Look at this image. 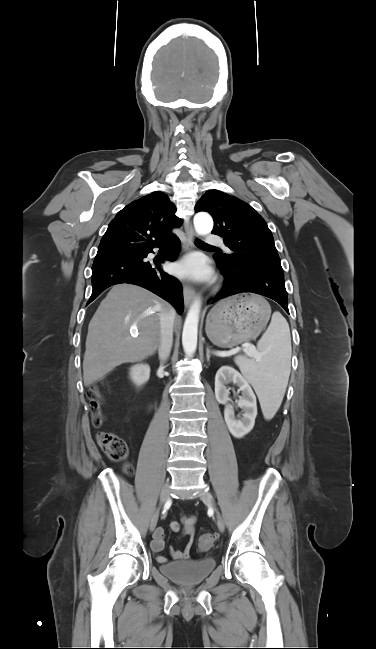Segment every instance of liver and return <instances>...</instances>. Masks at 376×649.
I'll use <instances>...</instances> for the list:
<instances>
[{
  "instance_id": "liver-1",
  "label": "liver",
  "mask_w": 376,
  "mask_h": 649,
  "mask_svg": "<svg viewBox=\"0 0 376 649\" xmlns=\"http://www.w3.org/2000/svg\"><path fill=\"white\" fill-rule=\"evenodd\" d=\"M169 308L142 287L127 283L113 286L88 326L84 385L101 380L122 363L141 361L154 354L160 341V316Z\"/></svg>"
}]
</instances>
